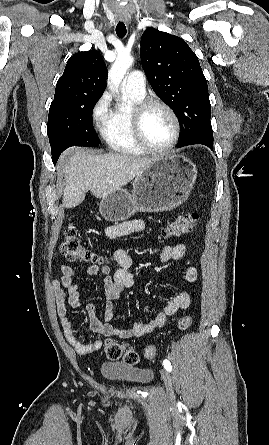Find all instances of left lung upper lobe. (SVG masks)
I'll list each match as a JSON object with an SVG mask.
<instances>
[{"label": "left lung upper lobe", "mask_w": 269, "mask_h": 445, "mask_svg": "<svg viewBox=\"0 0 269 445\" xmlns=\"http://www.w3.org/2000/svg\"><path fill=\"white\" fill-rule=\"evenodd\" d=\"M140 51L153 90L179 120L178 147L213 144L207 81L188 44L180 37L150 27L141 37Z\"/></svg>", "instance_id": "5c2ea615"}]
</instances>
